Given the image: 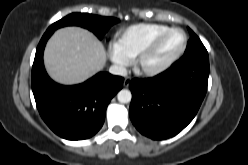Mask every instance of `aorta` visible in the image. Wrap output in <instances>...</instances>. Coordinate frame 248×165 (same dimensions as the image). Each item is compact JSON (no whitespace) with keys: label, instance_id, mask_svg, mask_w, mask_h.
I'll return each instance as SVG.
<instances>
[{"label":"aorta","instance_id":"aorta-1","mask_svg":"<svg viewBox=\"0 0 248 165\" xmlns=\"http://www.w3.org/2000/svg\"><path fill=\"white\" fill-rule=\"evenodd\" d=\"M132 94L127 89H122L117 94V99L120 103H129L131 101Z\"/></svg>","mask_w":248,"mask_h":165}]
</instances>
